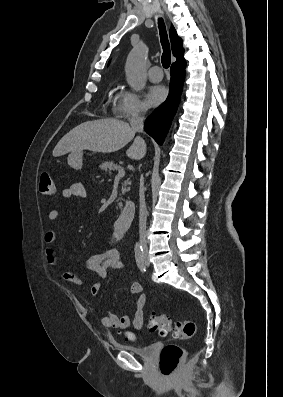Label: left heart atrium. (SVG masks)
I'll return each mask as SVG.
<instances>
[{
    "label": "left heart atrium",
    "mask_w": 283,
    "mask_h": 397,
    "mask_svg": "<svg viewBox=\"0 0 283 397\" xmlns=\"http://www.w3.org/2000/svg\"><path fill=\"white\" fill-rule=\"evenodd\" d=\"M167 97V89L162 85H155L149 88L146 94V104L148 107L160 105Z\"/></svg>",
    "instance_id": "39dd6f15"
}]
</instances>
